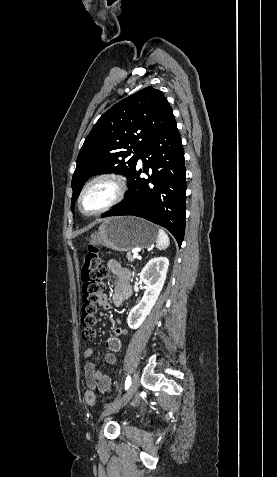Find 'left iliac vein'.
<instances>
[{
    "instance_id": "obj_1",
    "label": "left iliac vein",
    "mask_w": 277,
    "mask_h": 477,
    "mask_svg": "<svg viewBox=\"0 0 277 477\" xmlns=\"http://www.w3.org/2000/svg\"><path fill=\"white\" fill-rule=\"evenodd\" d=\"M139 385V373L135 372L132 378V382L130 384V387L128 391L118 400L113 402L112 404L108 405L105 410L103 411L101 418L110 415L118 410H120L122 407L128 404V402L133 398L134 394L136 393Z\"/></svg>"
}]
</instances>
